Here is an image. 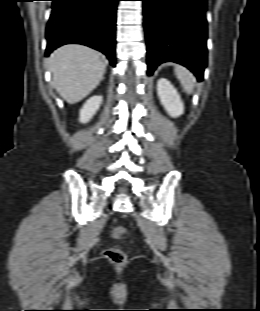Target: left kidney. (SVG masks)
<instances>
[{"mask_svg":"<svg viewBox=\"0 0 260 311\" xmlns=\"http://www.w3.org/2000/svg\"><path fill=\"white\" fill-rule=\"evenodd\" d=\"M157 92L161 104L171 117L176 118L184 113V104L170 81L160 78L157 82Z\"/></svg>","mask_w":260,"mask_h":311,"instance_id":"obj_1","label":"left kidney"}]
</instances>
